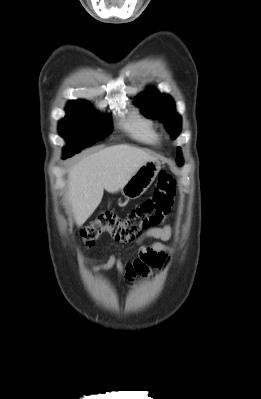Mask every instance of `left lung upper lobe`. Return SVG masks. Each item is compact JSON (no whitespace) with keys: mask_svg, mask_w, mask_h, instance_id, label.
I'll return each instance as SVG.
<instances>
[{"mask_svg":"<svg viewBox=\"0 0 261 399\" xmlns=\"http://www.w3.org/2000/svg\"><path fill=\"white\" fill-rule=\"evenodd\" d=\"M137 105L146 116L161 120L165 128L175 139L181 131V117L175 112L174 101L170 96L155 90H148L137 96ZM176 162L183 163L181 151L177 149Z\"/></svg>","mask_w":261,"mask_h":399,"instance_id":"1","label":"left lung upper lobe"}]
</instances>
